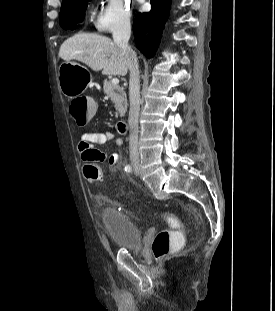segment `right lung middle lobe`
<instances>
[{
  "label": "right lung middle lobe",
  "instance_id": "obj_1",
  "mask_svg": "<svg viewBox=\"0 0 275 311\" xmlns=\"http://www.w3.org/2000/svg\"><path fill=\"white\" fill-rule=\"evenodd\" d=\"M90 0H65L60 9V25L64 29H74L84 18V12Z\"/></svg>",
  "mask_w": 275,
  "mask_h": 311
}]
</instances>
